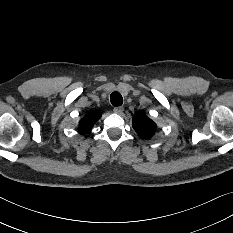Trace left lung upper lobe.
<instances>
[{
	"instance_id": "1",
	"label": "left lung upper lobe",
	"mask_w": 233,
	"mask_h": 233,
	"mask_svg": "<svg viewBox=\"0 0 233 233\" xmlns=\"http://www.w3.org/2000/svg\"><path fill=\"white\" fill-rule=\"evenodd\" d=\"M132 124L134 130L145 139H150L156 130V124L146 115L141 113L134 117Z\"/></svg>"
}]
</instances>
